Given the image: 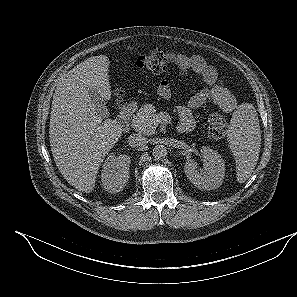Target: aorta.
I'll use <instances>...</instances> for the list:
<instances>
[{"instance_id": "obj_1", "label": "aorta", "mask_w": 297, "mask_h": 297, "mask_svg": "<svg viewBox=\"0 0 297 297\" xmlns=\"http://www.w3.org/2000/svg\"><path fill=\"white\" fill-rule=\"evenodd\" d=\"M167 153V148L164 145H156L152 152L156 159H164L167 156Z\"/></svg>"}]
</instances>
